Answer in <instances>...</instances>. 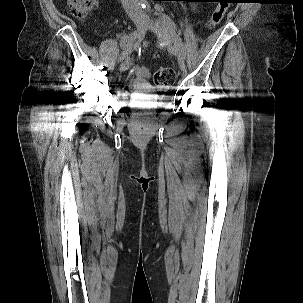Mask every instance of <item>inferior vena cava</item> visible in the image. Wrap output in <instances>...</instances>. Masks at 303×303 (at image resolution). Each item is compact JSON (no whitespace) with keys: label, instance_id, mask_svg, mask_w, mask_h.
Instances as JSON below:
<instances>
[{"label":"inferior vena cava","instance_id":"obj_1","mask_svg":"<svg viewBox=\"0 0 303 303\" xmlns=\"http://www.w3.org/2000/svg\"><path fill=\"white\" fill-rule=\"evenodd\" d=\"M121 2L126 13L133 21L145 17L139 7L138 0H121Z\"/></svg>","mask_w":303,"mask_h":303}]
</instances>
